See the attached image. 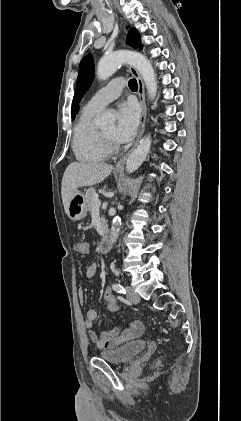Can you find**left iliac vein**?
<instances>
[{
	"mask_svg": "<svg viewBox=\"0 0 241 421\" xmlns=\"http://www.w3.org/2000/svg\"><path fill=\"white\" fill-rule=\"evenodd\" d=\"M127 298L132 303H138L140 301V296L134 291L131 287H126Z\"/></svg>",
	"mask_w": 241,
	"mask_h": 421,
	"instance_id": "left-iliac-vein-1",
	"label": "left iliac vein"
}]
</instances>
